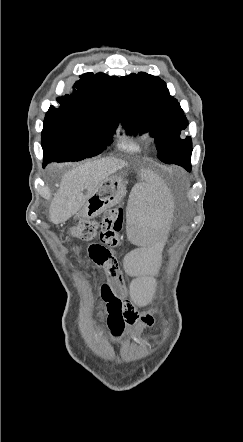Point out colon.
I'll return each mask as SVG.
<instances>
[{"instance_id": "5ec220e1", "label": "colon", "mask_w": 243, "mask_h": 442, "mask_svg": "<svg viewBox=\"0 0 243 442\" xmlns=\"http://www.w3.org/2000/svg\"><path fill=\"white\" fill-rule=\"evenodd\" d=\"M123 227V211L121 207L109 209L105 212L101 220H81L70 228V238L94 242L87 243L86 251L92 260L102 264L113 261L115 254L113 249L118 247L121 240ZM77 254L80 253L78 247L74 248Z\"/></svg>"}]
</instances>
